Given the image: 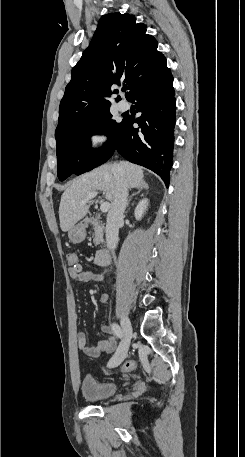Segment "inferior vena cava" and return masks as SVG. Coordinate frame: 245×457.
<instances>
[{
    "label": "inferior vena cava",
    "instance_id": "obj_1",
    "mask_svg": "<svg viewBox=\"0 0 245 457\" xmlns=\"http://www.w3.org/2000/svg\"><path fill=\"white\" fill-rule=\"evenodd\" d=\"M112 170L115 176L116 190L107 214L106 243L108 249H116L117 247L119 229L123 222L128 196V182L122 174L120 166H113Z\"/></svg>",
    "mask_w": 245,
    "mask_h": 457
}]
</instances>
